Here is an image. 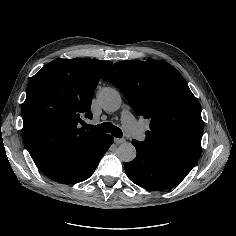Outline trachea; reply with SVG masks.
I'll use <instances>...</instances> for the list:
<instances>
[{"mask_svg": "<svg viewBox=\"0 0 236 236\" xmlns=\"http://www.w3.org/2000/svg\"><path fill=\"white\" fill-rule=\"evenodd\" d=\"M82 125L85 130L95 129L101 132L111 133L116 138H122L123 136L122 130L119 127L113 125L112 123L104 122L96 126L86 123H83Z\"/></svg>", "mask_w": 236, "mask_h": 236, "instance_id": "trachea-1", "label": "trachea"}]
</instances>
